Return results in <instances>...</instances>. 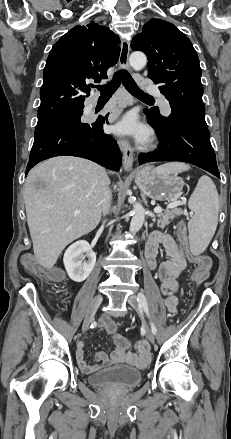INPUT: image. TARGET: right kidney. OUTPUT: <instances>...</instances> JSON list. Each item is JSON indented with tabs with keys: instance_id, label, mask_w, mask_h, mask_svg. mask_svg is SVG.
<instances>
[{
	"instance_id": "obj_1",
	"label": "right kidney",
	"mask_w": 231,
	"mask_h": 439,
	"mask_svg": "<svg viewBox=\"0 0 231 439\" xmlns=\"http://www.w3.org/2000/svg\"><path fill=\"white\" fill-rule=\"evenodd\" d=\"M63 262L70 279L82 282L92 272L96 263V254L87 241L79 240L66 250Z\"/></svg>"
}]
</instances>
